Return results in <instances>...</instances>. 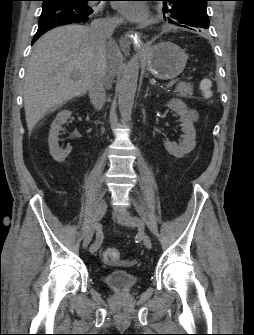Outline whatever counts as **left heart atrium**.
<instances>
[{"label": "left heart atrium", "instance_id": "1", "mask_svg": "<svg viewBox=\"0 0 254 335\" xmlns=\"http://www.w3.org/2000/svg\"><path fill=\"white\" fill-rule=\"evenodd\" d=\"M119 13L128 21L134 23H145L148 19V10L140 2L120 1L116 5Z\"/></svg>", "mask_w": 254, "mask_h": 335}]
</instances>
